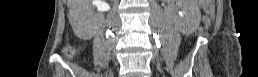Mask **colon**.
<instances>
[{
	"label": "colon",
	"mask_w": 258,
	"mask_h": 77,
	"mask_svg": "<svg viewBox=\"0 0 258 77\" xmlns=\"http://www.w3.org/2000/svg\"><path fill=\"white\" fill-rule=\"evenodd\" d=\"M64 53L67 56H71L73 54V50L70 47L64 49Z\"/></svg>",
	"instance_id": "colon-1"
}]
</instances>
